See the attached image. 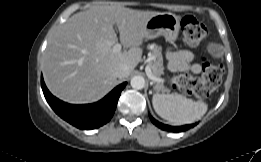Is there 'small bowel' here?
<instances>
[{"label":"small bowel","instance_id":"c3829d8e","mask_svg":"<svg viewBox=\"0 0 261 162\" xmlns=\"http://www.w3.org/2000/svg\"><path fill=\"white\" fill-rule=\"evenodd\" d=\"M208 51L215 57L220 56L221 50L215 44L208 45ZM168 66L172 71L189 70L198 74L202 70V66L197 62V56L187 50L173 49L168 52Z\"/></svg>","mask_w":261,"mask_h":162}]
</instances>
